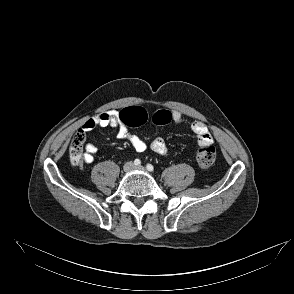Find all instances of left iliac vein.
I'll list each match as a JSON object with an SVG mask.
<instances>
[{
    "instance_id": "1",
    "label": "left iliac vein",
    "mask_w": 294,
    "mask_h": 294,
    "mask_svg": "<svg viewBox=\"0 0 294 294\" xmlns=\"http://www.w3.org/2000/svg\"><path fill=\"white\" fill-rule=\"evenodd\" d=\"M134 169L139 171H145V168L143 166H136L134 167Z\"/></svg>"
}]
</instances>
